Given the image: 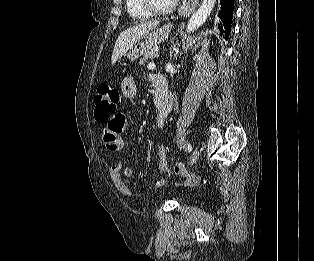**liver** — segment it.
<instances>
[{"label":"liver","instance_id":"1","mask_svg":"<svg viewBox=\"0 0 314 261\" xmlns=\"http://www.w3.org/2000/svg\"><path fill=\"white\" fill-rule=\"evenodd\" d=\"M159 21L145 22L124 30L116 40L114 45L111 64L114 65L129 49H131L140 39L153 30Z\"/></svg>","mask_w":314,"mask_h":261}]
</instances>
